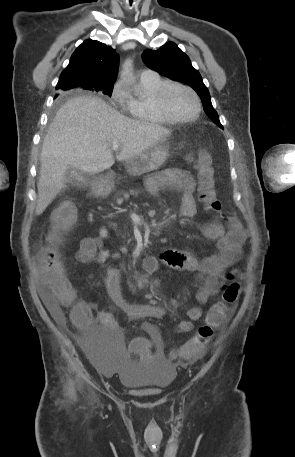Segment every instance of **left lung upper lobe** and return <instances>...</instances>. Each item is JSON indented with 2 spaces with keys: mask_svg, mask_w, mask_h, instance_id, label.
<instances>
[{
  "mask_svg": "<svg viewBox=\"0 0 295 457\" xmlns=\"http://www.w3.org/2000/svg\"><path fill=\"white\" fill-rule=\"evenodd\" d=\"M142 58L149 68L162 76L185 82L192 87L201 98L207 116L222 127L200 73L193 68L189 57L175 43L167 42L158 50L147 49L143 52Z\"/></svg>",
  "mask_w": 295,
  "mask_h": 457,
  "instance_id": "1",
  "label": "left lung upper lobe"
}]
</instances>
